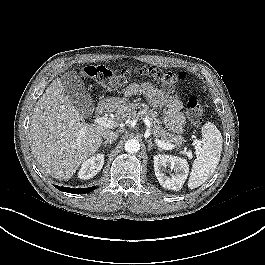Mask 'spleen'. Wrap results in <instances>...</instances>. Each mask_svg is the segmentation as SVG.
<instances>
[{
    "instance_id": "3e777b00",
    "label": "spleen",
    "mask_w": 265,
    "mask_h": 265,
    "mask_svg": "<svg viewBox=\"0 0 265 265\" xmlns=\"http://www.w3.org/2000/svg\"><path fill=\"white\" fill-rule=\"evenodd\" d=\"M202 147L193 162L188 187L194 189L205 183L217 168L222 152V135L208 122L202 127Z\"/></svg>"
}]
</instances>
